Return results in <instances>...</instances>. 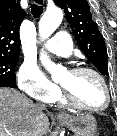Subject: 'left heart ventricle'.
<instances>
[{
    "label": "left heart ventricle",
    "mask_w": 117,
    "mask_h": 136,
    "mask_svg": "<svg viewBox=\"0 0 117 136\" xmlns=\"http://www.w3.org/2000/svg\"><path fill=\"white\" fill-rule=\"evenodd\" d=\"M60 84L83 105L97 108L105 103L104 88L99 79L91 73L74 74L68 71L62 76Z\"/></svg>",
    "instance_id": "obj_1"
}]
</instances>
